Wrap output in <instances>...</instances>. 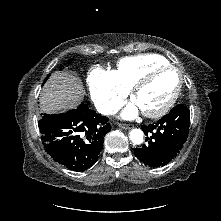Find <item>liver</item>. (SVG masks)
Segmentation results:
<instances>
[{
    "mask_svg": "<svg viewBox=\"0 0 221 221\" xmlns=\"http://www.w3.org/2000/svg\"><path fill=\"white\" fill-rule=\"evenodd\" d=\"M83 96L84 88L78 77L66 72L54 73L41 93L40 109L45 113H57L74 108Z\"/></svg>",
    "mask_w": 221,
    "mask_h": 221,
    "instance_id": "6515ba94",
    "label": "liver"
}]
</instances>
